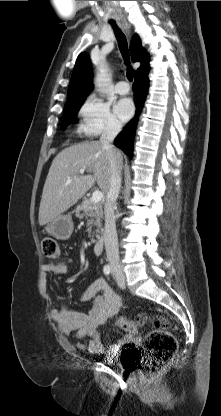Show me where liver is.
<instances>
[{
    "instance_id": "1",
    "label": "liver",
    "mask_w": 221,
    "mask_h": 416,
    "mask_svg": "<svg viewBox=\"0 0 221 416\" xmlns=\"http://www.w3.org/2000/svg\"><path fill=\"white\" fill-rule=\"evenodd\" d=\"M118 152L122 165L123 157ZM82 169L93 175H80ZM111 175L108 154L100 141L83 142L63 149L52 161L43 187L39 224L43 226L67 211L95 182L106 194Z\"/></svg>"
}]
</instances>
